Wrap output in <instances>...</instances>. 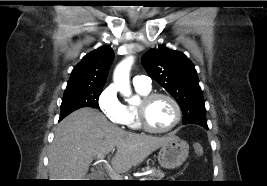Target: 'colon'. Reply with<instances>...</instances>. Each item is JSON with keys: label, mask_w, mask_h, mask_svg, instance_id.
I'll use <instances>...</instances> for the list:
<instances>
[{"label": "colon", "mask_w": 267, "mask_h": 186, "mask_svg": "<svg viewBox=\"0 0 267 186\" xmlns=\"http://www.w3.org/2000/svg\"><path fill=\"white\" fill-rule=\"evenodd\" d=\"M193 149L197 156H201L203 154V147L200 143H194Z\"/></svg>", "instance_id": "1"}]
</instances>
